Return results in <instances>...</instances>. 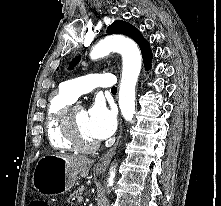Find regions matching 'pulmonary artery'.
Segmentation results:
<instances>
[{"mask_svg":"<svg viewBox=\"0 0 221 206\" xmlns=\"http://www.w3.org/2000/svg\"><path fill=\"white\" fill-rule=\"evenodd\" d=\"M116 82L112 74L93 73L64 82L62 89L76 100L81 94L90 92L96 87H113Z\"/></svg>","mask_w":221,"mask_h":206,"instance_id":"obj_1","label":"pulmonary artery"}]
</instances>
